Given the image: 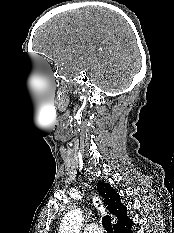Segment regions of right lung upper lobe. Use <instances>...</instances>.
Listing matches in <instances>:
<instances>
[{
    "label": "right lung upper lobe",
    "instance_id": "right-lung-upper-lobe-1",
    "mask_svg": "<svg viewBox=\"0 0 174 233\" xmlns=\"http://www.w3.org/2000/svg\"><path fill=\"white\" fill-rule=\"evenodd\" d=\"M97 189L108 211L118 217V221L114 225L115 232L117 233L130 225L132 220L127 217V208L120 202L119 194L115 192L110 184L99 182Z\"/></svg>",
    "mask_w": 174,
    "mask_h": 233
}]
</instances>
